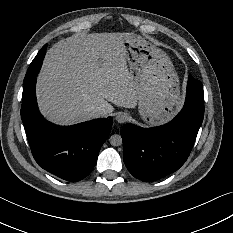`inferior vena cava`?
<instances>
[{"instance_id": "obj_1", "label": "inferior vena cava", "mask_w": 233, "mask_h": 233, "mask_svg": "<svg viewBox=\"0 0 233 233\" xmlns=\"http://www.w3.org/2000/svg\"><path fill=\"white\" fill-rule=\"evenodd\" d=\"M107 114V110L104 107H94L91 110V115L93 118H99L101 116H105Z\"/></svg>"}]
</instances>
